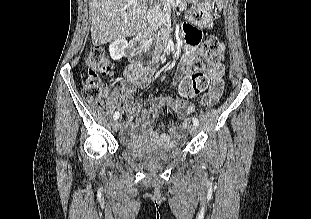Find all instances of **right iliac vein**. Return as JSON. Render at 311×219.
<instances>
[{
  "label": "right iliac vein",
  "instance_id": "obj_1",
  "mask_svg": "<svg viewBox=\"0 0 311 219\" xmlns=\"http://www.w3.org/2000/svg\"><path fill=\"white\" fill-rule=\"evenodd\" d=\"M119 126H120V124H119V122H118L117 120H114V121L112 122V128H113V130H115V131L119 130Z\"/></svg>",
  "mask_w": 311,
  "mask_h": 219
}]
</instances>
